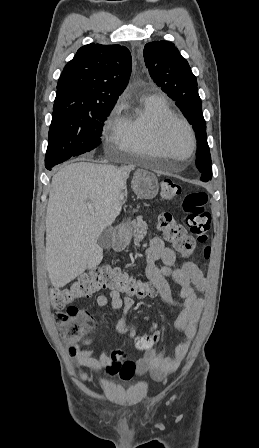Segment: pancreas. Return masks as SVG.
<instances>
[{
    "instance_id": "1",
    "label": "pancreas",
    "mask_w": 259,
    "mask_h": 448,
    "mask_svg": "<svg viewBox=\"0 0 259 448\" xmlns=\"http://www.w3.org/2000/svg\"><path fill=\"white\" fill-rule=\"evenodd\" d=\"M132 226L134 228V232H136V234H134L135 242H141L147 234L148 228L146 222H143L142 216H137V220L132 222Z\"/></svg>"
}]
</instances>
